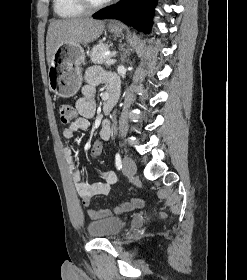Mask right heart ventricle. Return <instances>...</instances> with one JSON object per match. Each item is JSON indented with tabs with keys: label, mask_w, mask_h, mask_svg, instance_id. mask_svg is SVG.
Masks as SVG:
<instances>
[{
	"label": "right heart ventricle",
	"mask_w": 247,
	"mask_h": 280,
	"mask_svg": "<svg viewBox=\"0 0 247 280\" xmlns=\"http://www.w3.org/2000/svg\"><path fill=\"white\" fill-rule=\"evenodd\" d=\"M54 11L65 19L79 17L86 12L78 0H54Z\"/></svg>",
	"instance_id": "right-heart-ventricle-1"
}]
</instances>
